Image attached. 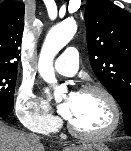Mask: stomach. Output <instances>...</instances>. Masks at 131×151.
Returning <instances> with one entry per match:
<instances>
[{
  "label": "stomach",
  "mask_w": 131,
  "mask_h": 151,
  "mask_svg": "<svg viewBox=\"0 0 131 151\" xmlns=\"http://www.w3.org/2000/svg\"><path fill=\"white\" fill-rule=\"evenodd\" d=\"M66 151H110L107 146L101 142H91L83 144L76 148H67Z\"/></svg>",
  "instance_id": "obj_1"
}]
</instances>
